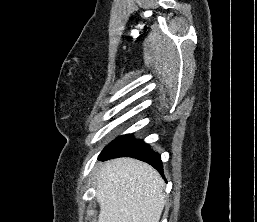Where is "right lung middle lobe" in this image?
Here are the masks:
<instances>
[{
    "label": "right lung middle lobe",
    "instance_id": "right-lung-middle-lobe-1",
    "mask_svg": "<svg viewBox=\"0 0 257 222\" xmlns=\"http://www.w3.org/2000/svg\"><path fill=\"white\" fill-rule=\"evenodd\" d=\"M121 137H123V136H120V137L116 138L114 141H116V140L120 139ZM114 141H113V142H114Z\"/></svg>",
    "mask_w": 257,
    "mask_h": 222
}]
</instances>
